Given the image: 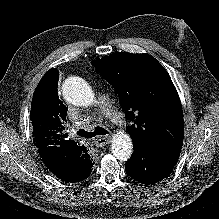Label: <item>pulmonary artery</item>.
Masks as SVG:
<instances>
[{
	"mask_svg": "<svg viewBox=\"0 0 219 219\" xmlns=\"http://www.w3.org/2000/svg\"><path fill=\"white\" fill-rule=\"evenodd\" d=\"M99 101H100V103H101L102 105H104V106H109V107H110V103H109L108 99H107L104 95H101V96L99 97Z\"/></svg>",
	"mask_w": 219,
	"mask_h": 219,
	"instance_id": "e3ab8cb5",
	"label": "pulmonary artery"
}]
</instances>
